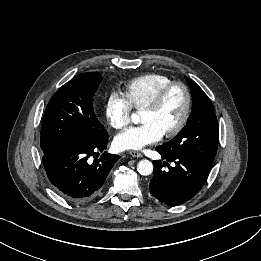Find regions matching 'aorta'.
<instances>
[{
	"instance_id": "1",
	"label": "aorta",
	"mask_w": 261,
	"mask_h": 261,
	"mask_svg": "<svg viewBox=\"0 0 261 261\" xmlns=\"http://www.w3.org/2000/svg\"><path fill=\"white\" fill-rule=\"evenodd\" d=\"M132 120L134 122H136V120H137L136 114L132 115ZM137 171L139 172V174H141L143 176L150 175L153 172L152 162H150L149 160H146V159L139 161L137 164Z\"/></svg>"
}]
</instances>
